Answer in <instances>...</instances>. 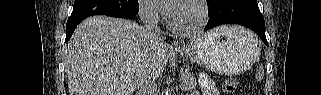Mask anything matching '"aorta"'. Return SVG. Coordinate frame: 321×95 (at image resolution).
Listing matches in <instances>:
<instances>
[{"instance_id":"obj_1","label":"aorta","mask_w":321,"mask_h":95,"mask_svg":"<svg viewBox=\"0 0 321 95\" xmlns=\"http://www.w3.org/2000/svg\"><path fill=\"white\" fill-rule=\"evenodd\" d=\"M164 94H165V95H170L169 90H165Z\"/></svg>"}]
</instances>
